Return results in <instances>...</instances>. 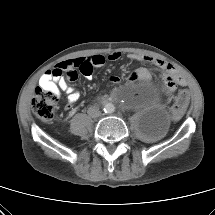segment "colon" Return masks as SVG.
Returning <instances> with one entry per match:
<instances>
[{
  "label": "colon",
  "mask_w": 215,
  "mask_h": 215,
  "mask_svg": "<svg viewBox=\"0 0 215 215\" xmlns=\"http://www.w3.org/2000/svg\"><path fill=\"white\" fill-rule=\"evenodd\" d=\"M56 74H61V72H56ZM180 80L181 78L174 72L167 74L164 80L166 91L171 92ZM57 100L58 96L54 92L43 88H38L32 99L33 113L41 121H51L54 117V110ZM187 102L188 94L183 91L176 98L172 107V115L175 119H178L183 115Z\"/></svg>",
  "instance_id": "1"
}]
</instances>
